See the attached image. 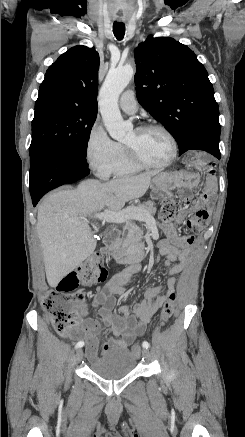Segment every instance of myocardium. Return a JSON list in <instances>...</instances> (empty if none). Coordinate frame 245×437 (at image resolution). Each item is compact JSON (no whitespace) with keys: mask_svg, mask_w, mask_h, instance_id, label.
<instances>
[{"mask_svg":"<svg viewBox=\"0 0 245 437\" xmlns=\"http://www.w3.org/2000/svg\"><path fill=\"white\" fill-rule=\"evenodd\" d=\"M159 130L162 133H164V135L168 138V140L170 141L171 144V154L169 156V158L163 162H159V163H154V162H148L143 160L142 158H140L131 147H129L126 144H123V148L124 151L126 153V156L128 157V159L133 162L134 164L142 167V168H164L167 167L169 165H171L174 160L176 159L177 155H178V143L177 140L175 138V136L173 135V133L165 126L161 125V124H157V123H147V124H143L140 125L138 127H136L134 130L136 132H143V131H147V130Z\"/></svg>","mask_w":245,"mask_h":437,"instance_id":"myocardium-1","label":"myocardium"}]
</instances>
